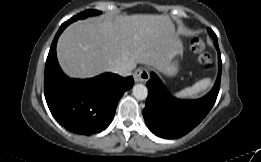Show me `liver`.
Instances as JSON below:
<instances>
[{
    "label": "liver",
    "instance_id": "liver-1",
    "mask_svg": "<svg viewBox=\"0 0 261 162\" xmlns=\"http://www.w3.org/2000/svg\"><path fill=\"white\" fill-rule=\"evenodd\" d=\"M179 41L166 15L97 17L70 25L58 40L57 56L71 78L94 77L123 64L141 63L159 70Z\"/></svg>",
    "mask_w": 261,
    "mask_h": 162
}]
</instances>
